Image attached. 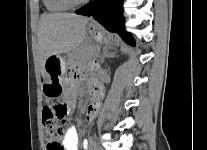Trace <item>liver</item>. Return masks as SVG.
Listing matches in <instances>:
<instances>
[{
  "instance_id": "liver-1",
  "label": "liver",
  "mask_w": 207,
  "mask_h": 150,
  "mask_svg": "<svg viewBox=\"0 0 207 150\" xmlns=\"http://www.w3.org/2000/svg\"><path fill=\"white\" fill-rule=\"evenodd\" d=\"M89 19L74 14H43L38 26V50L42 76L45 63L52 55L71 53L80 48L86 39Z\"/></svg>"
}]
</instances>
